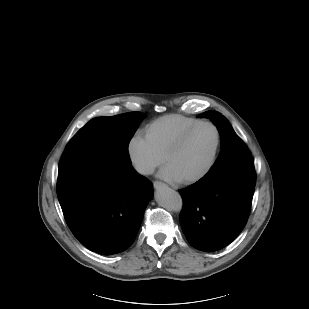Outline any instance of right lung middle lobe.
<instances>
[{"instance_id":"right-lung-middle-lobe-1","label":"right lung middle lobe","mask_w":309,"mask_h":309,"mask_svg":"<svg viewBox=\"0 0 309 309\" xmlns=\"http://www.w3.org/2000/svg\"><path fill=\"white\" fill-rule=\"evenodd\" d=\"M144 117L141 112H130L89 121L70 140L59 165L57 183L89 163L131 164L128 145Z\"/></svg>"}]
</instances>
